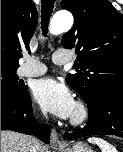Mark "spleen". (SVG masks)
<instances>
[{
  "mask_svg": "<svg viewBox=\"0 0 123 152\" xmlns=\"http://www.w3.org/2000/svg\"><path fill=\"white\" fill-rule=\"evenodd\" d=\"M89 141L97 144L101 149V152H117L116 148L113 145L101 138L94 137L90 138Z\"/></svg>",
  "mask_w": 123,
  "mask_h": 152,
  "instance_id": "obj_1",
  "label": "spleen"
}]
</instances>
